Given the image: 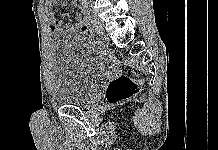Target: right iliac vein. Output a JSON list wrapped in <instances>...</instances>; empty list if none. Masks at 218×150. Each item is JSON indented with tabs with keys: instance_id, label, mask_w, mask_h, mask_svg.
<instances>
[{
	"instance_id": "1",
	"label": "right iliac vein",
	"mask_w": 218,
	"mask_h": 150,
	"mask_svg": "<svg viewBox=\"0 0 218 150\" xmlns=\"http://www.w3.org/2000/svg\"><path fill=\"white\" fill-rule=\"evenodd\" d=\"M84 13L85 15H87L88 17L91 18V20L93 21L94 23V27L95 29L99 32V33H103L104 31V24L103 22L98 19L94 13L92 12V10L90 8H84Z\"/></svg>"
}]
</instances>
